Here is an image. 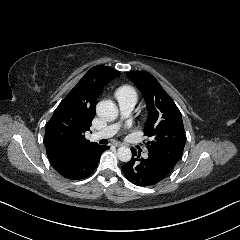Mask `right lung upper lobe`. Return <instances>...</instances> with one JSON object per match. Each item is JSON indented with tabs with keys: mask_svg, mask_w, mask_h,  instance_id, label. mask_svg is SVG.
<instances>
[{
	"mask_svg": "<svg viewBox=\"0 0 240 240\" xmlns=\"http://www.w3.org/2000/svg\"><path fill=\"white\" fill-rule=\"evenodd\" d=\"M120 73L110 67H92L69 92L46 125L45 144L49 160L74 156L97 146L85 139L95 116L102 88Z\"/></svg>",
	"mask_w": 240,
	"mask_h": 240,
	"instance_id": "obj_1",
	"label": "right lung upper lobe"
}]
</instances>
